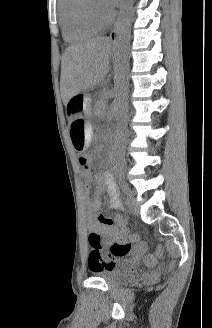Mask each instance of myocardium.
<instances>
[{
  "instance_id": "f54148a6",
  "label": "myocardium",
  "mask_w": 212,
  "mask_h": 328,
  "mask_svg": "<svg viewBox=\"0 0 212 328\" xmlns=\"http://www.w3.org/2000/svg\"><path fill=\"white\" fill-rule=\"evenodd\" d=\"M95 0H86L85 4V14L90 21L99 25V26H107L113 20V13L108 12V14L104 15L100 13L96 7L94 6Z\"/></svg>"
}]
</instances>
